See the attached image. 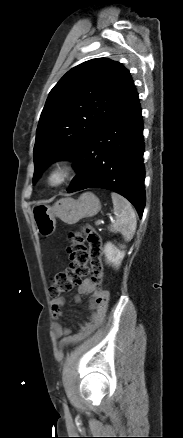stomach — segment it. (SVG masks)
<instances>
[{
    "instance_id": "1",
    "label": "stomach",
    "mask_w": 183,
    "mask_h": 438,
    "mask_svg": "<svg viewBox=\"0 0 183 438\" xmlns=\"http://www.w3.org/2000/svg\"><path fill=\"white\" fill-rule=\"evenodd\" d=\"M101 208L99 199L90 192L82 194L78 200L62 198L53 206L36 204L31 210V217L37 232L42 237L51 236L56 230V217L72 225L82 218L95 216Z\"/></svg>"
}]
</instances>
